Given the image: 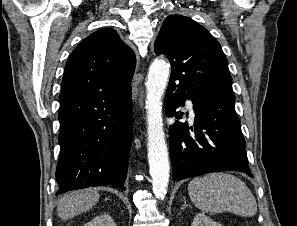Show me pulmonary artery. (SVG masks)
I'll use <instances>...</instances> for the list:
<instances>
[{"mask_svg":"<svg viewBox=\"0 0 297 226\" xmlns=\"http://www.w3.org/2000/svg\"><path fill=\"white\" fill-rule=\"evenodd\" d=\"M187 108L189 109L191 116H194L192 102L190 100L187 101Z\"/></svg>","mask_w":297,"mask_h":226,"instance_id":"pulmonary-artery-1","label":"pulmonary artery"}]
</instances>
